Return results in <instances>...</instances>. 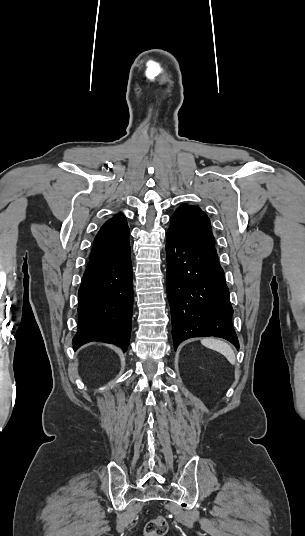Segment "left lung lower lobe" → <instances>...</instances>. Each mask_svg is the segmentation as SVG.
Wrapping results in <instances>:
<instances>
[{
    "mask_svg": "<svg viewBox=\"0 0 305 536\" xmlns=\"http://www.w3.org/2000/svg\"><path fill=\"white\" fill-rule=\"evenodd\" d=\"M166 237L174 348L188 338L216 336L239 349L229 290L215 247L189 243L171 232Z\"/></svg>",
    "mask_w": 305,
    "mask_h": 536,
    "instance_id": "1",
    "label": "left lung lower lobe"
}]
</instances>
